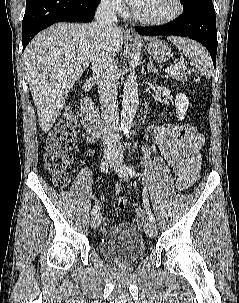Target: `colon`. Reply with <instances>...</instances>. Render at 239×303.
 <instances>
[{
  "instance_id": "colon-1",
  "label": "colon",
  "mask_w": 239,
  "mask_h": 303,
  "mask_svg": "<svg viewBox=\"0 0 239 303\" xmlns=\"http://www.w3.org/2000/svg\"><path fill=\"white\" fill-rule=\"evenodd\" d=\"M76 127L77 109L70 106L61 115L47 139L44 166L58 188H64L68 184V170L72 165L71 151L74 148ZM126 205V197L117 198V207L120 210H123ZM136 221L135 229L140 225V221L138 219Z\"/></svg>"
}]
</instances>
